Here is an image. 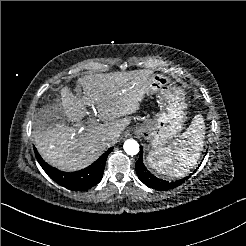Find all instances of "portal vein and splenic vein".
<instances>
[{
  "label": "portal vein and splenic vein",
  "mask_w": 246,
  "mask_h": 246,
  "mask_svg": "<svg viewBox=\"0 0 246 246\" xmlns=\"http://www.w3.org/2000/svg\"><path fill=\"white\" fill-rule=\"evenodd\" d=\"M119 93H114L113 95H118Z\"/></svg>",
  "instance_id": "18ae733b"
}]
</instances>
